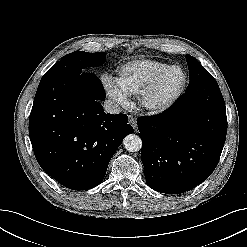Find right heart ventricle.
Wrapping results in <instances>:
<instances>
[{
	"label": "right heart ventricle",
	"instance_id": "1",
	"mask_svg": "<svg viewBox=\"0 0 247 247\" xmlns=\"http://www.w3.org/2000/svg\"><path fill=\"white\" fill-rule=\"evenodd\" d=\"M168 66L152 59L134 60L119 69L115 83L124 94L137 95L158 71Z\"/></svg>",
	"mask_w": 247,
	"mask_h": 247
}]
</instances>
